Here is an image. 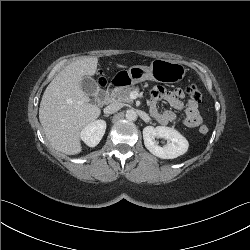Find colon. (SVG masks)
I'll return each mask as SVG.
<instances>
[{"label":"colon","mask_w":250,"mask_h":250,"mask_svg":"<svg viewBox=\"0 0 250 250\" xmlns=\"http://www.w3.org/2000/svg\"><path fill=\"white\" fill-rule=\"evenodd\" d=\"M185 91H186V94L191 99V101H193L195 103H199L201 101L202 95H201V92L196 85H194V84L189 85ZM199 131L201 134H207L209 129L207 126L203 125L200 127Z\"/></svg>","instance_id":"1"}]
</instances>
